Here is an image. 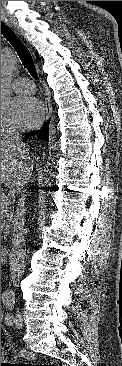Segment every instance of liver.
Wrapping results in <instances>:
<instances>
[{
	"label": "liver",
	"instance_id": "obj_1",
	"mask_svg": "<svg viewBox=\"0 0 122 366\" xmlns=\"http://www.w3.org/2000/svg\"><path fill=\"white\" fill-rule=\"evenodd\" d=\"M34 162L28 151L27 157L22 158L17 148L9 145L4 133H1V184L7 187H17L32 177Z\"/></svg>",
	"mask_w": 122,
	"mask_h": 366
}]
</instances>
